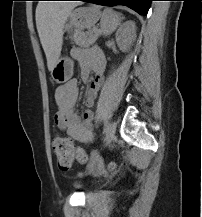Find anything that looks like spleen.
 <instances>
[{
	"instance_id": "3e777b00",
	"label": "spleen",
	"mask_w": 202,
	"mask_h": 217,
	"mask_svg": "<svg viewBox=\"0 0 202 217\" xmlns=\"http://www.w3.org/2000/svg\"><path fill=\"white\" fill-rule=\"evenodd\" d=\"M101 30L104 35H109L116 30L120 24L119 15L111 9H105L101 17Z\"/></svg>"
}]
</instances>
